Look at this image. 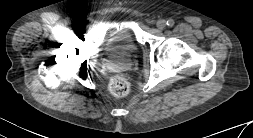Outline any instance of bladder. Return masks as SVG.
Listing matches in <instances>:
<instances>
[{
    "label": "bladder",
    "mask_w": 253,
    "mask_h": 138,
    "mask_svg": "<svg viewBox=\"0 0 253 138\" xmlns=\"http://www.w3.org/2000/svg\"><path fill=\"white\" fill-rule=\"evenodd\" d=\"M101 48L106 53L131 58L138 52L139 44L129 27H119L108 31Z\"/></svg>",
    "instance_id": "bladder-1"
}]
</instances>
